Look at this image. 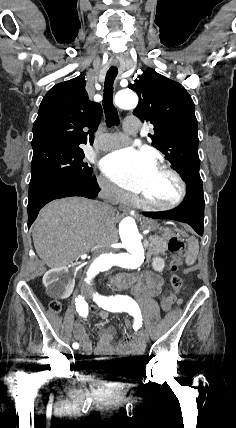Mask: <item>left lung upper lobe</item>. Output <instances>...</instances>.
<instances>
[{
    "mask_svg": "<svg viewBox=\"0 0 236 428\" xmlns=\"http://www.w3.org/2000/svg\"><path fill=\"white\" fill-rule=\"evenodd\" d=\"M129 88L139 103L133 114L154 125L152 146L163 152L186 185H202L199 174L197 120L186 89L148 68Z\"/></svg>",
    "mask_w": 236,
    "mask_h": 428,
    "instance_id": "1",
    "label": "left lung upper lobe"
}]
</instances>
